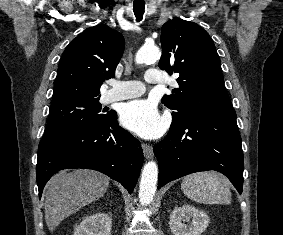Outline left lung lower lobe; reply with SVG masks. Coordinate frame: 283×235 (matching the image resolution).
<instances>
[{"label":"left lung lower lobe","instance_id":"obj_1","mask_svg":"<svg viewBox=\"0 0 283 235\" xmlns=\"http://www.w3.org/2000/svg\"><path fill=\"white\" fill-rule=\"evenodd\" d=\"M154 153L159 163L158 189L190 173L216 170L242 193L244 158L234 110L196 114L172 123Z\"/></svg>","mask_w":283,"mask_h":235}]
</instances>
